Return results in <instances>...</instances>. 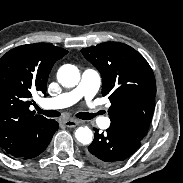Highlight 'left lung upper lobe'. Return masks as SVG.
<instances>
[{
	"label": "left lung upper lobe",
	"instance_id": "5c2ea615",
	"mask_svg": "<svg viewBox=\"0 0 183 183\" xmlns=\"http://www.w3.org/2000/svg\"><path fill=\"white\" fill-rule=\"evenodd\" d=\"M102 76V95L108 96L111 127L142 140L149 129L156 95L154 73L132 47L105 42L81 50Z\"/></svg>",
	"mask_w": 183,
	"mask_h": 183
}]
</instances>
